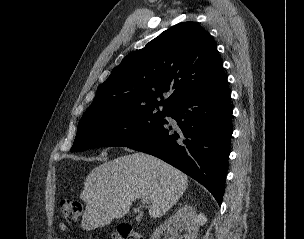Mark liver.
Segmentation results:
<instances>
[{"mask_svg":"<svg viewBox=\"0 0 304 239\" xmlns=\"http://www.w3.org/2000/svg\"><path fill=\"white\" fill-rule=\"evenodd\" d=\"M188 177L154 156L133 153L105 162L87 176L81 199L86 203L82 227H104L130 210L138 198L150 202L149 215H164L183 195Z\"/></svg>","mask_w":304,"mask_h":239,"instance_id":"6515ba94","label":"liver"}]
</instances>
